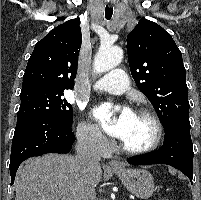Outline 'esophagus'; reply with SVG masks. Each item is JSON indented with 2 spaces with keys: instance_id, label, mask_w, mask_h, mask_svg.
Here are the masks:
<instances>
[{
  "instance_id": "34e87169",
  "label": "esophagus",
  "mask_w": 201,
  "mask_h": 200,
  "mask_svg": "<svg viewBox=\"0 0 201 200\" xmlns=\"http://www.w3.org/2000/svg\"><path fill=\"white\" fill-rule=\"evenodd\" d=\"M109 164L113 169H123V164L116 159L111 160Z\"/></svg>"
}]
</instances>
